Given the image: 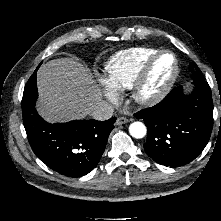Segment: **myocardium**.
<instances>
[{
  "mask_svg": "<svg viewBox=\"0 0 221 221\" xmlns=\"http://www.w3.org/2000/svg\"><path fill=\"white\" fill-rule=\"evenodd\" d=\"M164 55H170L174 61V69L167 80V82L161 86L158 90L154 92L147 93L145 92V86L148 83L152 70L156 64V62ZM180 67L177 56L170 50H159L155 54H153L144 64L142 69L140 70L138 76L136 77L132 87H131V95L133 100L144 106H151L162 99H164L167 94L171 91L173 86L175 85L177 78L179 76Z\"/></svg>",
  "mask_w": 221,
  "mask_h": 221,
  "instance_id": "1",
  "label": "myocardium"
}]
</instances>
